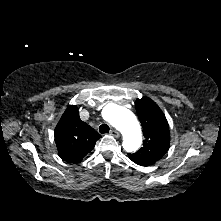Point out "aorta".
<instances>
[{
  "label": "aorta",
  "instance_id": "762f6f07",
  "mask_svg": "<svg viewBox=\"0 0 221 221\" xmlns=\"http://www.w3.org/2000/svg\"><path fill=\"white\" fill-rule=\"evenodd\" d=\"M107 120L123 134V148L136 151L142 142L141 128L136 116L128 109L112 104L108 107Z\"/></svg>",
  "mask_w": 221,
  "mask_h": 221
}]
</instances>
